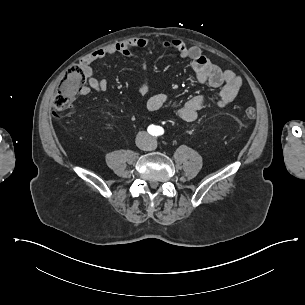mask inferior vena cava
<instances>
[{"mask_svg": "<svg viewBox=\"0 0 305 305\" xmlns=\"http://www.w3.org/2000/svg\"><path fill=\"white\" fill-rule=\"evenodd\" d=\"M136 145L141 150H152L154 140L146 132L141 131L136 136Z\"/></svg>", "mask_w": 305, "mask_h": 305, "instance_id": "inferior-vena-cava-1", "label": "inferior vena cava"}]
</instances>
